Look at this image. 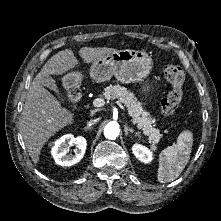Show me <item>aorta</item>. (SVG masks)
<instances>
[{
    "instance_id": "1",
    "label": "aorta",
    "mask_w": 221,
    "mask_h": 221,
    "mask_svg": "<svg viewBox=\"0 0 221 221\" xmlns=\"http://www.w3.org/2000/svg\"><path fill=\"white\" fill-rule=\"evenodd\" d=\"M119 132V126L116 123L111 122L104 127V136L107 139H116V137L119 135Z\"/></svg>"
}]
</instances>
